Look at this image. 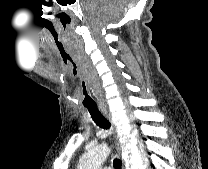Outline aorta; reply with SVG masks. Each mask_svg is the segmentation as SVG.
<instances>
[{
    "instance_id": "1",
    "label": "aorta",
    "mask_w": 208,
    "mask_h": 169,
    "mask_svg": "<svg viewBox=\"0 0 208 169\" xmlns=\"http://www.w3.org/2000/svg\"><path fill=\"white\" fill-rule=\"evenodd\" d=\"M108 155L109 149L106 144L97 145L82 155L77 169H100Z\"/></svg>"
}]
</instances>
